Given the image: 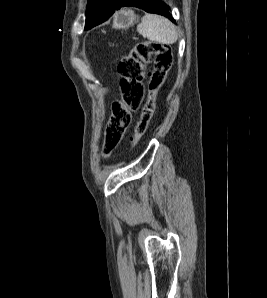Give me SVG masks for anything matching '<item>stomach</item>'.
<instances>
[{
	"label": "stomach",
	"mask_w": 267,
	"mask_h": 298,
	"mask_svg": "<svg viewBox=\"0 0 267 298\" xmlns=\"http://www.w3.org/2000/svg\"><path fill=\"white\" fill-rule=\"evenodd\" d=\"M137 21V17L133 11L121 10L113 16V28L115 29H126Z\"/></svg>",
	"instance_id": "1"
}]
</instances>
